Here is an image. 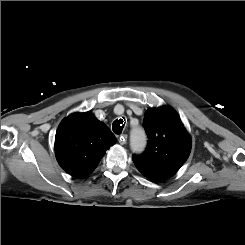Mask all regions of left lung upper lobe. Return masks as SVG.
<instances>
[{"label": "left lung upper lobe", "instance_id": "obj_1", "mask_svg": "<svg viewBox=\"0 0 245 245\" xmlns=\"http://www.w3.org/2000/svg\"><path fill=\"white\" fill-rule=\"evenodd\" d=\"M148 134L145 152L132 159L137 169L153 181L174 176L186 162L191 151V137L179 115L170 107L151 108L144 115Z\"/></svg>", "mask_w": 245, "mask_h": 245}]
</instances>
